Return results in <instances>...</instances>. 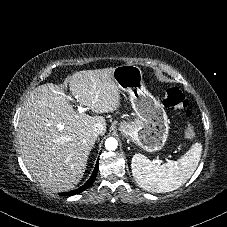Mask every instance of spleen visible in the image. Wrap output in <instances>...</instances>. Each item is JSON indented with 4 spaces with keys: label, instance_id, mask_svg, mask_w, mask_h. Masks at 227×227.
Segmentation results:
<instances>
[{
    "label": "spleen",
    "instance_id": "obj_1",
    "mask_svg": "<svg viewBox=\"0 0 227 227\" xmlns=\"http://www.w3.org/2000/svg\"><path fill=\"white\" fill-rule=\"evenodd\" d=\"M202 145L195 143L178 160L157 165L142 154H135L131 161L133 177L142 189L164 193L178 189L195 172L201 157Z\"/></svg>",
    "mask_w": 227,
    "mask_h": 227
}]
</instances>
